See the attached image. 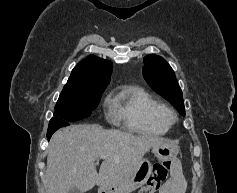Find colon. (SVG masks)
Segmentation results:
<instances>
[{
	"mask_svg": "<svg viewBox=\"0 0 237 193\" xmlns=\"http://www.w3.org/2000/svg\"><path fill=\"white\" fill-rule=\"evenodd\" d=\"M170 169L171 164L169 162L155 164L151 177L139 193H155L158 191L167 180Z\"/></svg>",
	"mask_w": 237,
	"mask_h": 193,
	"instance_id": "obj_1",
	"label": "colon"
}]
</instances>
